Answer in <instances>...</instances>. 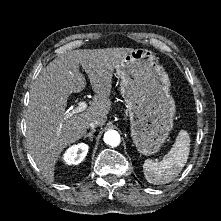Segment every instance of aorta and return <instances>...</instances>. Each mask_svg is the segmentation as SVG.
I'll return each mask as SVG.
<instances>
[{
    "label": "aorta",
    "instance_id": "obj_1",
    "mask_svg": "<svg viewBox=\"0 0 221 221\" xmlns=\"http://www.w3.org/2000/svg\"><path fill=\"white\" fill-rule=\"evenodd\" d=\"M104 142L111 146H118L120 143V135L115 130H109L104 134Z\"/></svg>",
    "mask_w": 221,
    "mask_h": 221
}]
</instances>
